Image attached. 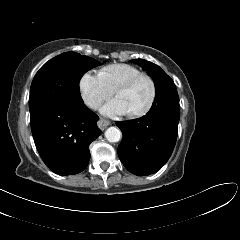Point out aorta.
Returning <instances> with one entry per match:
<instances>
[{"mask_svg":"<svg viewBox=\"0 0 240 240\" xmlns=\"http://www.w3.org/2000/svg\"><path fill=\"white\" fill-rule=\"evenodd\" d=\"M105 137L111 143L118 142L121 138V131L116 127H109L105 131Z\"/></svg>","mask_w":240,"mask_h":240,"instance_id":"762f6f07","label":"aorta"}]
</instances>
